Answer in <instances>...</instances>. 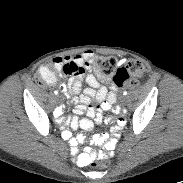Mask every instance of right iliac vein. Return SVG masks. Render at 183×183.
Returning a JSON list of instances; mask_svg holds the SVG:
<instances>
[{
	"instance_id": "63e3f726",
	"label": "right iliac vein",
	"mask_w": 183,
	"mask_h": 183,
	"mask_svg": "<svg viewBox=\"0 0 183 183\" xmlns=\"http://www.w3.org/2000/svg\"><path fill=\"white\" fill-rule=\"evenodd\" d=\"M58 98H59V99H61V98H62V96H61V95H59V96H58Z\"/></svg>"
}]
</instances>
